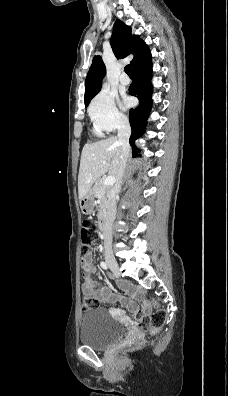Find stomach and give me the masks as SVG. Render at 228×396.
<instances>
[{"instance_id": "stomach-1", "label": "stomach", "mask_w": 228, "mask_h": 396, "mask_svg": "<svg viewBox=\"0 0 228 396\" xmlns=\"http://www.w3.org/2000/svg\"><path fill=\"white\" fill-rule=\"evenodd\" d=\"M79 205L83 214L85 215L91 214L95 206L94 192L91 190L84 197H82L79 201Z\"/></svg>"}]
</instances>
